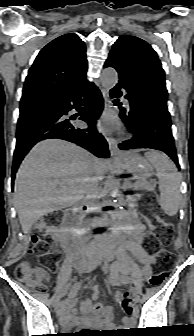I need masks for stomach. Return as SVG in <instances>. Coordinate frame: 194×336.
<instances>
[{
	"label": "stomach",
	"instance_id": "0dacf381",
	"mask_svg": "<svg viewBox=\"0 0 194 336\" xmlns=\"http://www.w3.org/2000/svg\"><path fill=\"white\" fill-rule=\"evenodd\" d=\"M123 159L127 171L134 174L138 179H147L151 176L152 166L135 152L126 153Z\"/></svg>",
	"mask_w": 194,
	"mask_h": 336
}]
</instances>
